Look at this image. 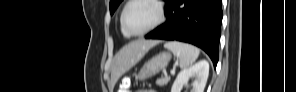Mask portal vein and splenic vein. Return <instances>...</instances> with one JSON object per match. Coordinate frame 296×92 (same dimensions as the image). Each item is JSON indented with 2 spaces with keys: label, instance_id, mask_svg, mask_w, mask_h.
Masks as SVG:
<instances>
[{
  "label": "portal vein and splenic vein",
  "instance_id": "obj_1",
  "mask_svg": "<svg viewBox=\"0 0 296 92\" xmlns=\"http://www.w3.org/2000/svg\"><path fill=\"white\" fill-rule=\"evenodd\" d=\"M171 74H175V70L173 69V70H171Z\"/></svg>",
  "mask_w": 296,
  "mask_h": 92
}]
</instances>
